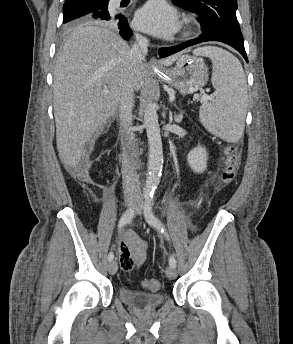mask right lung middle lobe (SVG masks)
<instances>
[{"label":"right lung middle lobe","mask_w":293,"mask_h":344,"mask_svg":"<svg viewBox=\"0 0 293 344\" xmlns=\"http://www.w3.org/2000/svg\"><path fill=\"white\" fill-rule=\"evenodd\" d=\"M108 0H84L63 6L64 28L68 29L70 25H76L91 22L87 15L98 8L107 9Z\"/></svg>","instance_id":"right-lung-middle-lobe-1"}]
</instances>
